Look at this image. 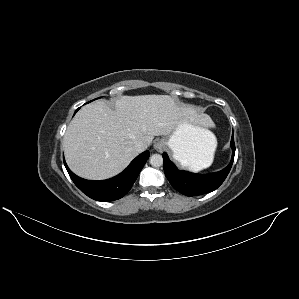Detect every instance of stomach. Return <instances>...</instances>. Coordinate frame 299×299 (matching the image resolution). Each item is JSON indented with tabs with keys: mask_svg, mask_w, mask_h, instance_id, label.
<instances>
[{
	"mask_svg": "<svg viewBox=\"0 0 299 299\" xmlns=\"http://www.w3.org/2000/svg\"><path fill=\"white\" fill-rule=\"evenodd\" d=\"M166 144L173 151L175 159L183 160V165H204L213 160L217 146L215 136H209V130L194 125L186 118H181Z\"/></svg>",
	"mask_w": 299,
	"mask_h": 299,
	"instance_id": "1",
	"label": "stomach"
}]
</instances>
